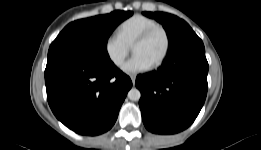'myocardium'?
Instances as JSON below:
<instances>
[{
	"mask_svg": "<svg viewBox=\"0 0 261 150\" xmlns=\"http://www.w3.org/2000/svg\"><path fill=\"white\" fill-rule=\"evenodd\" d=\"M157 31H161L163 33L164 37H165V48H164V51H163L161 57L154 64L151 65L152 68L160 67L165 62V60L167 59V56L169 54V50H170V36H169V33H168L167 29L164 26H162V25H155V26L147 29L146 31H144L135 40V42L132 45V51H134V49L138 45L146 42Z\"/></svg>",
	"mask_w": 261,
	"mask_h": 150,
	"instance_id": "f54148a6",
	"label": "myocardium"
}]
</instances>
